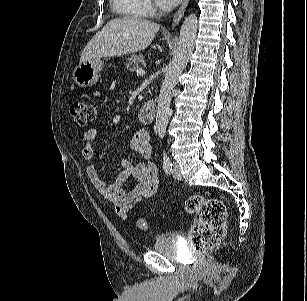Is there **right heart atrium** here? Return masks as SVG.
Returning a JSON list of instances; mask_svg holds the SVG:
<instances>
[{
  "instance_id": "right-heart-atrium-1",
  "label": "right heart atrium",
  "mask_w": 307,
  "mask_h": 301,
  "mask_svg": "<svg viewBox=\"0 0 307 301\" xmlns=\"http://www.w3.org/2000/svg\"><path fill=\"white\" fill-rule=\"evenodd\" d=\"M146 1V11L148 14H153L155 12L153 4L149 0Z\"/></svg>"
}]
</instances>
